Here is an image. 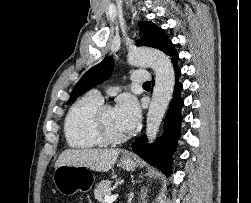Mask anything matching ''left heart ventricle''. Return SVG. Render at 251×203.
Wrapping results in <instances>:
<instances>
[{
    "mask_svg": "<svg viewBox=\"0 0 251 203\" xmlns=\"http://www.w3.org/2000/svg\"><path fill=\"white\" fill-rule=\"evenodd\" d=\"M104 121L105 125L108 129V131L115 136H122L126 134L127 132L119 125L116 114H115V109L109 108L105 111L104 114Z\"/></svg>",
    "mask_w": 251,
    "mask_h": 203,
    "instance_id": "left-heart-ventricle-1",
    "label": "left heart ventricle"
}]
</instances>
